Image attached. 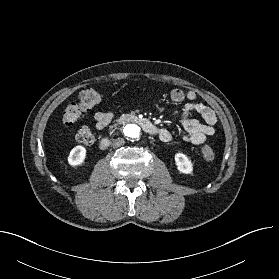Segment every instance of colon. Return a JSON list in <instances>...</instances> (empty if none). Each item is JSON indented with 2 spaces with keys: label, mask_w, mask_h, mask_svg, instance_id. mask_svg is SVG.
I'll list each match as a JSON object with an SVG mask.
<instances>
[{
  "label": "colon",
  "mask_w": 279,
  "mask_h": 279,
  "mask_svg": "<svg viewBox=\"0 0 279 279\" xmlns=\"http://www.w3.org/2000/svg\"><path fill=\"white\" fill-rule=\"evenodd\" d=\"M101 99V93L95 89L81 91L76 101L66 105L62 116L63 123L66 126L75 125L82 119L84 113L99 104ZM76 140L88 145L93 142L94 137L89 128L81 127L76 133ZM200 154L205 161H212L215 157L214 149L209 144L201 147Z\"/></svg>",
  "instance_id": "5ec220e1"
}]
</instances>
